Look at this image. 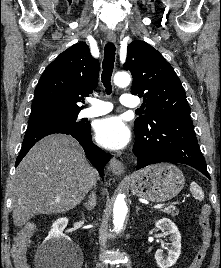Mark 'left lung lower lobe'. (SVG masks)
<instances>
[{
    "label": "left lung lower lobe",
    "instance_id": "0a47b994",
    "mask_svg": "<svg viewBox=\"0 0 221 268\" xmlns=\"http://www.w3.org/2000/svg\"><path fill=\"white\" fill-rule=\"evenodd\" d=\"M133 152L136 169L160 162L190 165L210 179L190 116H153L142 130H135Z\"/></svg>",
    "mask_w": 221,
    "mask_h": 268
}]
</instances>
